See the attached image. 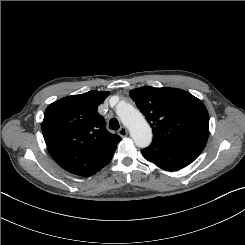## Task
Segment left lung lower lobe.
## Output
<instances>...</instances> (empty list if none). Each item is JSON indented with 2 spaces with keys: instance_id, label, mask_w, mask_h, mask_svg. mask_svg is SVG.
Wrapping results in <instances>:
<instances>
[{
  "instance_id": "1",
  "label": "left lung lower lobe",
  "mask_w": 245,
  "mask_h": 245,
  "mask_svg": "<svg viewBox=\"0 0 245 245\" xmlns=\"http://www.w3.org/2000/svg\"><path fill=\"white\" fill-rule=\"evenodd\" d=\"M143 157L167 171H176L192 163L199 154L157 140L141 150Z\"/></svg>"
}]
</instances>
